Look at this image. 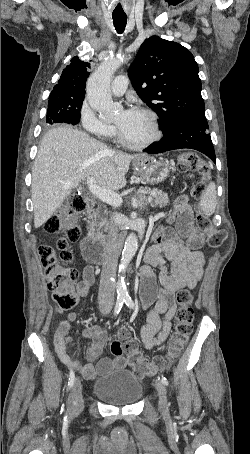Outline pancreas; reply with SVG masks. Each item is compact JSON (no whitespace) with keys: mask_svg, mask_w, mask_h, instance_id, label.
<instances>
[{"mask_svg":"<svg viewBox=\"0 0 250 454\" xmlns=\"http://www.w3.org/2000/svg\"><path fill=\"white\" fill-rule=\"evenodd\" d=\"M150 195L153 197V201L150 203L152 207H164L169 203L168 196L158 189L150 190L147 189ZM90 226L96 231L95 237L104 241L105 235L103 232L107 231V221L103 216V212L98 211L92 216V222Z\"/></svg>","mask_w":250,"mask_h":454,"instance_id":"obj_1","label":"pancreas"}]
</instances>
